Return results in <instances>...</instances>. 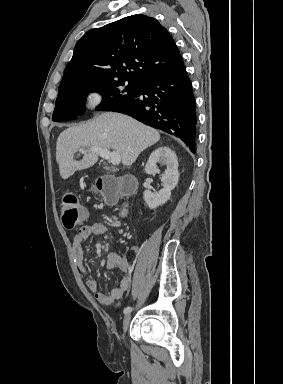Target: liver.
<instances>
[{
	"mask_svg": "<svg viewBox=\"0 0 283 384\" xmlns=\"http://www.w3.org/2000/svg\"><path fill=\"white\" fill-rule=\"evenodd\" d=\"M157 130L141 122L113 112H101L84 126H70L60 134L56 144V162L63 180L73 176L76 170H86L98 162V154L90 148H106L119 152L123 166H132L139 154L159 142ZM87 148L80 162L74 154Z\"/></svg>",
	"mask_w": 283,
	"mask_h": 384,
	"instance_id": "liver-1",
	"label": "liver"
}]
</instances>
